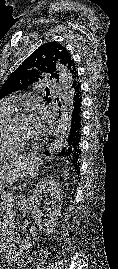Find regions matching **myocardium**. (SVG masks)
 <instances>
[{
	"mask_svg": "<svg viewBox=\"0 0 118 269\" xmlns=\"http://www.w3.org/2000/svg\"><path fill=\"white\" fill-rule=\"evenodd\" d=\"M22 116H23V114L20 113V112L13 113L10 116V118L7 120L6 125H5L6 135H7L8 139L11 142H14V143L20 145L21 147H23L25 145H30L31 144L28 140L23 139V138L17 136L15 134V132H14V124Z\"/></svg>",
	"mask_w": 118,
	"mask_h": 269,
	"instance_id": "myocardium-1",
	"label": "myocardium"
}]
</instances>
